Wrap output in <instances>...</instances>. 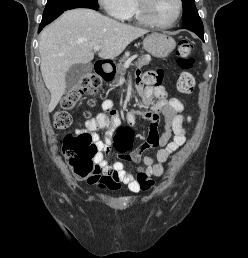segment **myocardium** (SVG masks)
Listing matches in <instances>:
<instances>
[{"mask_svg":"<svg viewBox=\"0 0 248 258\" xmlns=\"http://www.w3.org/2000/svg\"><path fill=\"white\" fill-rule=\"evenodd\" d=\"M149 3L150 0H136V6H137V11H138V15L140 17V19L153 27H157V28H170L172 26H174L178 20L181 17L182 11H183V1L182 0H177V4H178V10L176 13V16L174 17V19L168 23H160L156 20H154L149 12Z\"/></svg>","mask_w":248,"mask_h":258,"instance_id":"1","label":"myocardium"}]
</instances>
